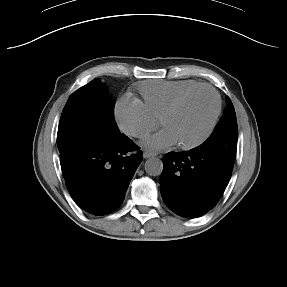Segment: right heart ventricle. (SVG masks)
Wrapping results in <instances>:
<instances>
[{
	"label": "right heart ventricle",
	"instance_id": "obj_1",
	"mask_svg": "<svg viewBox=\"0 0 287 287\" xmlns=\"http://www.w3.org/2000/svg\"><path fill=\"white\" fill-rule=\"evenodd\" d=\"M198 85L200 83L193 80L150 81L140 85L139 90L149 112L160 120L178 97Z\"/></svg>",
	"mask_w": 287,
	"mask_h": 287
}]
</instances>
